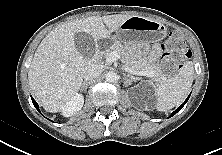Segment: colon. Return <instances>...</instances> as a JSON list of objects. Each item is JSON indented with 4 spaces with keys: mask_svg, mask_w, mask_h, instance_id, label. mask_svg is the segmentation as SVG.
Here are the masks:
<instances>
[{
    "mask_svg": "<svg viewBox=\"0 0 222 155\" xmlns=\"http://www.w3.org/2000/svg\"><path fill=\"white\" fill-rule=\"evenodd\" d=\"M163 69L171 74L180 70L190 58L191 52L182 37L172 34L164 44Z\"/></svg>",
    "mask_w": 222,
    "mask_h": 155,
    "instance_id": "obj_1",
    "label": "colon"
}]
</instances>
